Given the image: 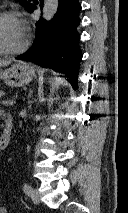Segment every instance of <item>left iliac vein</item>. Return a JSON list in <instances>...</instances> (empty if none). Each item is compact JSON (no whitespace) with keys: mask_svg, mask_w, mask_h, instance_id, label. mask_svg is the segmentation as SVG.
<instances>
[{"mask_svg":"<svg viewBox=\"0 0 128 213\" xmlns=\"http://www.w3.org/2000/svg\"><path fill=\"white\" fill-rule=\"evenodd\" d=\"M30 197L34 203L38 204L40 202V194L34 188H32V190H31Z\"/></svg>","mask_w":128,"mask_h":213,"instance_id":"left-iliac-vein-1","label":"left iliac vein"}]
</instances>
